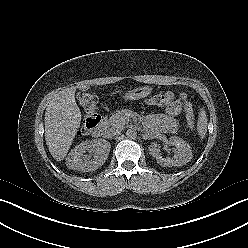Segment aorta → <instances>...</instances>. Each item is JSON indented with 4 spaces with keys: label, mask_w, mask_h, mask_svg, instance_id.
Instances as JSON below:
<instances>
[{
    "label": "aorta",
    "mask_w": 248,
    "mask_h": 248,
    "mask_svg": "<svg viewBox=\"0 0 248 248\" xmlns=\"http://www.w3.org/2000/svg\"><path fill=\"white\" fill-rule=\"evenodd\" d=\"M126 135L128 138L134 139L137 136V131L134 127H129L126 131Z\"/></svg>",
    "instance_id": "aorta-1"
}]
</instances>
